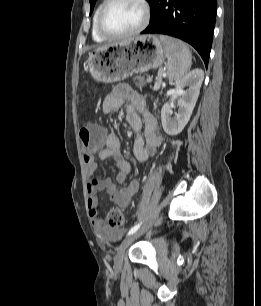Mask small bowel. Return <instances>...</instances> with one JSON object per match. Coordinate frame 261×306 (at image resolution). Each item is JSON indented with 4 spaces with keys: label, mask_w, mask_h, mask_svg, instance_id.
I'll return each instance as SVG.
<instances>
[{
    "label": "small bowel",
    "mask_w": 261,
    "mask_h": 306,
    "mask_svg": "<svg viewBox=\"0 0 261 306\" xmlns=\"http://www.w3.org/2000/svg\"><path fill=\"white\" fill-rule=\"evenodd\" d=\"M129 102L126 107L125 118L131 128L138 134L133 144V154L135 159L143 163L156 152L162 142V137L157 131L156 118L146 110L145 99L142 95L132 90L126 84L117 85L104 99L102 112L110 115L121 109L125 102ZM141 131L143 134L141 135ZM121 139L115 132H109L105 137V145L98 152L101 160L113 159L119 172L116 175V182L124 184L130 166L120 152ZM87 175V205L92 219L93 226L97 234L104 240L116 242L121 239L124 231L119 228H112L105 223L104 218L98 214L97 193L105 191L111 199L122 207H129L133 196L138 192L139 182L130 181L125 187L120 189L110 178H95L98 165L95 155L87 154L84 157Z\"/></svg>",
    "instance_id": "1"
}]
</instances>
